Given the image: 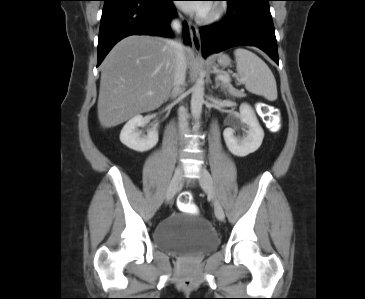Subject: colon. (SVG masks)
<instances>
[{
	"mask_svg": "<svg viewBox=\"0 0 365 299\" xmlns=\"http://www.w3.org/2000/svg\"><path fill=\"white\" fill-rule=\"evenodd\" d=\"M264 117L268 119V122L270 124V128L273 131H278L280 129L281 126V121L279 119V117L276 114L275 109L273 108H267V113L264 114ZM177 206L179 209L184 210V211H188V212H193L196 210V207L194 205L193 202V195L188 192H182L177 199Z\"/></svg>",
	"mask_w": 365,
	"mask_h": 299,
	"instance_id": "1",
	"label": "colon"
}]
</instances>
